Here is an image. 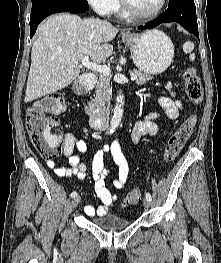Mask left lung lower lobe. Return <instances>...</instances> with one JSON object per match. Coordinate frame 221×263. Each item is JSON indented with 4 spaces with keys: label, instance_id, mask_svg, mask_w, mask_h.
Returning <instances> with one entry per match:
<instances>
[{
    "label": "left lung lower lobe",
    "instance_id": "left-lung-lower-lobe-1",
    "mask_svg": "<svg viewBox=\"0 0 221 263\" xmlns=\"http://www.w3.org/2000/svg\"><path fill=\"white\" fill-rule=\"evenodd\" d=\"M177 22L187 31L199 38L196 7L193 0H169L168 9L161 16L138 29L145 30L161 23Z\"/></svg>",
    "mask_w": 221,
    "mask_h": 263
}]
</instances>
